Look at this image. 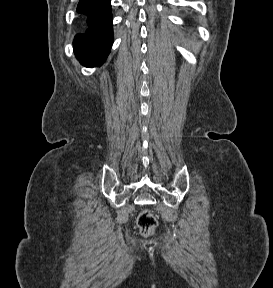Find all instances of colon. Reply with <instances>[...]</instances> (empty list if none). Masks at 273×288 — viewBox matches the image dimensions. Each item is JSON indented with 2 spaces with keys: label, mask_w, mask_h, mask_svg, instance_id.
<instances>
[{
  "label": "colon",
  "mask_w": 273,
  "mask_h": 288,
  "mask_svg": "<svg viewBox=\"0 0 273 288\" xmlns=\"http://www.w3.org/2000/svg\"><path fill=\"white\" fill-rule=\"evenodd\" d=\"M137 225L142 235L150 236L157 226V219L150 210L146 209L138 215Z\"/></svg>",
  "instance_id": "colon-1"
}]
</instances>
